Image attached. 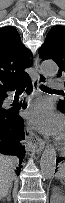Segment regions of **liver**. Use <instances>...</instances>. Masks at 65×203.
Returning <instances> with one entry per match:
<instances>
[{
    "label": "liver",
    "instance_id": "6515ba94",
    "mask_svg": "<svg viewBox=\"0 0 65 203\" xmlns=\"http://www.w3.org/2000/svg\"><path fill=\"white\" fill-rule=\"evenodd\" d=\"M17 164L15 157L0 155V199L5 198L12 187L13 172Z\"/></svg>",
    "mask_w": 65,
    "mask_h": 203
}]
</instances>
